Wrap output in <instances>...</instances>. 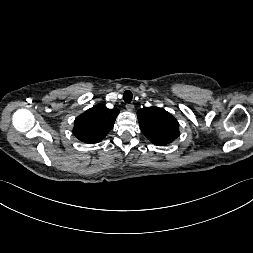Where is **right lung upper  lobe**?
<instances>
[{
	"mask_svg": "<svg viewBox=\"0 0 253 253\" xmlns=\"http://www.w3.org/2000/svg\"><path fill=\"white\" fill-rule=\"evenodd\" d=\"M118 113L117 109H108L102 104L96 105L75 119L73 134L82 142L98 143L113 128Z\"/></svg>",
	"mask_w": 253,
	"mask_h": 253,
	"instance_id": "cb5924a9",
	"label": "right lung upper lobe"
}]
</instances>
